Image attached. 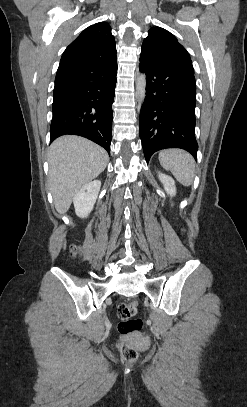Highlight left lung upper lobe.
<instances>
[{
	"instance_id": "1",
	"label": "left lung upper lobe",
	"mask_w": 247,
	"mask_h": 407,
	"mask_svg": "<svg viewBox=\"0 0 247 407\" xmlns=\"http://www.w3.org/2000/svg\"><path fill=\"white\" fill-rule=\"evenodd\" d=\"M141 56L166 68L194 74L189 53L176 37L161 27H152L142 44Z\"/></svg>"
}]
</instances>
